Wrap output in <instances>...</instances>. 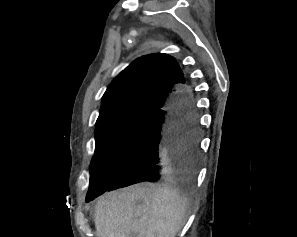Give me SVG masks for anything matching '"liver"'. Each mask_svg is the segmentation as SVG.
<instances>
[{
	"mask_svg": "<svg viewBox=\"0 0 297 237\" xmlns=\"http://www.w3.org/2000/svg\"><path fill=\"white\" fill-rule=\"evenodd\" d=\"M189 204L169 185L145 183L105 193L94 215L98 237H175Z\"/></svg>",
	"mask_w": 297,
	"mask_h": 237,
	"instance_id": "1",
	"label": "liver"
}]
</instances>
